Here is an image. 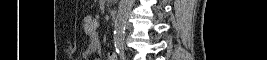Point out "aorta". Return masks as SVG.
Segmentation results:
<instances>
[{
	"instance_id": "aorta-1",
	"label": "aorta",
	"mask_w": 267,
	"mask_h": 60,
	"mask_svg": "<svg viewBox=\"0 0 267 60\" xmlns=\"http://www.w3.org/2000/svg\"><path fill=\"white\" fill-rule=\"evenodd\" d=\"M134 0H120L114 25V43L118 52L124 50L125 27Z\"/></svg>"
}]
</instances>
